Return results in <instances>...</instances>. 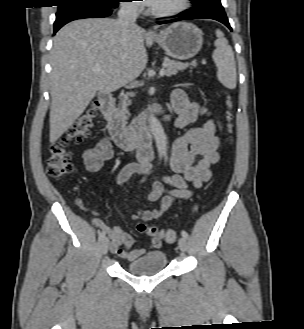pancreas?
<instances>
[{"mask_svg": "<svg viewBox=\"0 0 304 329\" xmlns=\"http://www.w3.org/2000/svg\"><path fill=\"white\" fill-rule=\"evenodd\" d=\"M163 64L166 68V75L167 76L175 75V74L178 73V71H183L184 69H186L188 67L187 63L174 61V60H171L167 57L164 58ZM191 65L193 67L197 66L196 63H192ZM128 95H131V94L124 95L122 97L120 105H119V109L124 115L128 114L127 106L130 103V101L128 100Z\"/></svg>", "mask_w": 304, "mask_h": 329, "instance_id": "cf45deb5", "label": "pancreas"}]
</instances>
